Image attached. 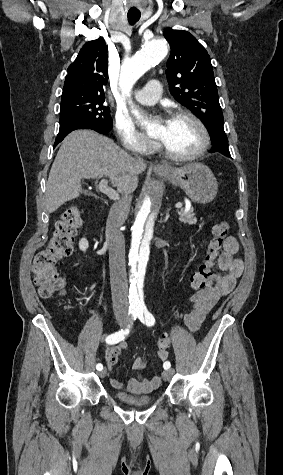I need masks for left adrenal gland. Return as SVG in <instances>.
Wrapping results in <instances>:
<instances>
[{
    "label": "left adrenal gland",
    "instance_id": "obj_1",
    "mask_svg": "<svg viewBox=\"0 0 283 475\" xmlns=\"http://www.w3.org/2000/svg\"><path fill=\"white\" fill-rule=\"evenodd\" d=\"M169 210H170V208H167V214H169Z\"/></svg>",
    "mask_w": 283,
    "mask_h": 475
}]
</instances>
